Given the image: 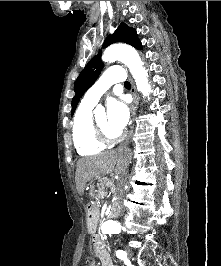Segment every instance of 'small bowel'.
I'll list each match as a JSON object with an SVG mask.
<instances>
[{"mask_svg": "<svg viewBox=\"0 0 221 266\" xmlns=\"http://www.w3.org/2000/svg\"><path fill=\"white\" fill-rule=\"evenodd\" d=\"M91 244L93 255L100 259L102 266H115L112 263L109 248L100 235L93 234ZM91 266L95 265L92 263Z\"/></svg>", "mask_w": 221, "mask_h": 266, "instance_id": "obj_1", "label": "small bowel"}]
</instances>
